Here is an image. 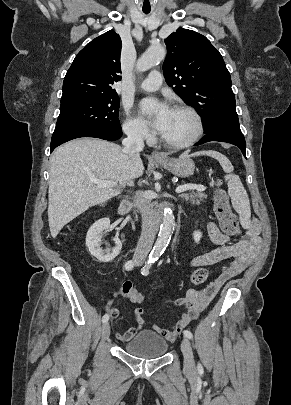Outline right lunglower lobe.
I'll use <instances>...</instances> for the list:
<instances>
[{
  "label": "right lung lower lobe",
  "mask_w": 291,
  "mask_h": 405,
  "mask_svg": "<svg viewBox=\"0 0 291 405\" xmlns=\"http://www.w3.org/2000/svg\"><path fill=\"white\" fill-rule=\"evenodd\" d=\"M122 136V131L120 132H116V133H96V132H92V133H82V134H78V135H74L71 137H68L66 139L57 141L53 144H51V149L50 151L52 152L57 146L61 145L62 143H65L69 140L75 139V138H80V137H95V138H100V139H104V140H109V141H115L117 139H119Z\"/></svg>",
  "instance_id": "98d812e1"
}]
</instances>
